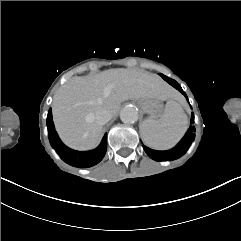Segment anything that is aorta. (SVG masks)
<instances>
[{
	"instance_id": "aorta-1",
	"label": "aorta",
	"mask_w": 241,
	"mask_h": 241,
	"mask_svg": "<svg viewBox=\"0 0 241 241\" xmlns=\"http://www.w3.org/2000/svg\"><path fill=\"white\" fill-rule=\"evenodd\" d=\"M120 119L125 124L135 123L138 120V112L134 107L126 106L120 112Z\"/></svg>"
}]
</instances>
